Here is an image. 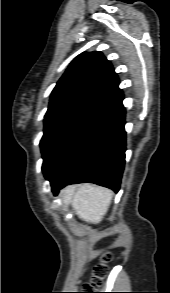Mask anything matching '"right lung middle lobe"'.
Returning a JSON list of instances; mask_svg holds the SVG:
<instances>
[{
    "mask_svg": "<svg viewBox=\"0 0 170 293\" xmlns=\"http://www.w3.org/2000/svg\"><path fill=\"white\" fill-rule=\"evenodd\" d=\"M109 108L76 106L44 120L40 143L42 170L46 179L53 177L109 113Z\"/></svg>",
    "mask_w": 170,
    "mask_h": 293,
    "instance_id": "right-lung-middle-lobe-1",
    "label": "right lung middle lobe"
}]
</instances>
